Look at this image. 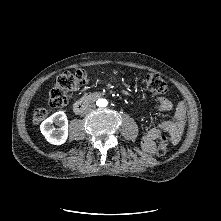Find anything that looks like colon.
Returning a JSON list of instances; mask_svg holds the SVG:
<instances>
[{
	"instance_id": "obj_1",
	"label": "colon",
	"mask_w": 221,
	"mask_h": 221,
	"mask_svg": "<svg viewBox=\"0 0 221 221\" xmlns=\"http://www.w3.org/2000/svg\"><path fill=\"white\" fill-rule=\"evenodd\" d=\"M88 82V74L84 70L74 72H64L60 74L54 84L50 95L49 104L53 109H60L66 106L67 92L83 87ZM145 88L152 94H164L167 91V84L162 77L156 74H147L144 77ZM49 111L44 108L36 109L33 113V122L38 124L43 121ZM175 143L174 136L170 132H165L159 141L156 149L158 155H165L168 148Z\"/></svg>"
}]
</instances>
